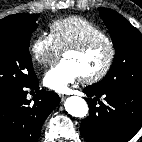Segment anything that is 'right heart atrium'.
<instances>
[{
    "instance_id": "right-heart-atrium-1",
    "label": "right heart atrium",
    "mask_w": 142,
    "mask_h": 142,
    "mask_svg": "<svg viewBox=\"0 0 142 142\" xmlns=\"http://www.w3.org/2000/svg\"><path fill=\"white\" fill-rule=\"evenodd\" d=\"M33 59L43 66L52 65L59 58L61 51L50 35L35 36L30 45Z\"/></svg>"
}]
</instances>
